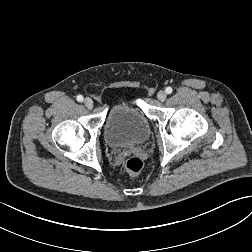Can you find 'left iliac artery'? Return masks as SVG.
Returning a JSON list of instances; mask_svg holds the SVG:
<instances>
[{
  "mask_svg": "<svg viewBox=\"0 0 252 252\" xmlns=\"http://www.w3.org/2000/svg\"><path fill=\"white\" fill-rule=\"evenodd\" d=\"M165 91L167 94H171L173 90L171 87H166Z\"/></svg>",
  "mask_w": 252,
  "mask_h": 252,
  "instance_id": "44dca946",
  "label": "left iliac artery"
}]
</instances>
